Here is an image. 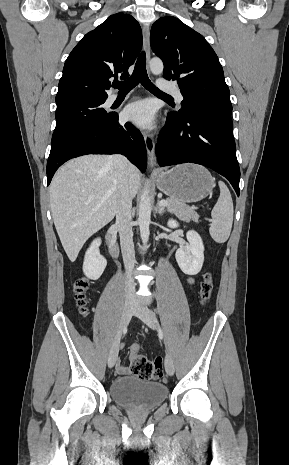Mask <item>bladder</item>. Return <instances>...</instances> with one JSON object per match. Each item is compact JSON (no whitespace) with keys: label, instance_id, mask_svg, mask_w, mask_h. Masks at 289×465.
<instances>
[{"label":"bladder","instance_id":"bladder-1","mask_svg":"<svg viewBox=\"0 0 289 465\" xmlns=\"http://www.w3.org/2000/svg\"><path fill=\"white\" fill-rule=\"evenodd\" d=\"M111 399L124 407L150 409L161 405L168 396V387L136 376L120 377L109 386Z\"/></svg>","mask_w":289,"mask_h":465}]
</instances>
